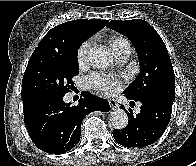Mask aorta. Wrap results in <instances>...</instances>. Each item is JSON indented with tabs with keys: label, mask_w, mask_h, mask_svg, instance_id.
Returning a JSON list of instances; mask_svg holds the SVG:
<instances>
[{
	"label": "aorta",
	"mask_w": 196,
	"mask_h": 166,
	"mask_svg": "<svg viewBox=\"0 0 196 166\" xmlns=\"http://www.w3.org/2000/svg\"><path fill=\"white\" fill-rule=\"evenodd\" d=\"M113 54L107 47L99 46L91 49L90 62L97 68H106L113 62ZM110 122L115 129L121 130L128 125V116L122 109L110 112Z\"/></svg>",
	"instance_id": "1"
}]
</instances>
